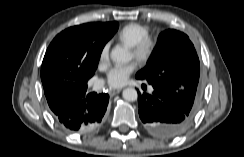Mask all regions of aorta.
Instances as JSON below:
<instances>
[{
	"instance_id": "762f6f07",
	"label": "aorta",
	"mask_w": 244,
	"mask_h": 157,
	"mask_svg": "<svg viewBox=\"0 0 244 157\" xmlns=\"http://www.w3.org/2000/svg\"><path fill=\"white\" fill-rule=\"evenodd\" d=\"M111 59L116 62L125 63L128 62L131 59V57L127 49L120 46H116L111 51ZM122 96L125 100L130 102L136 101L138 98L137 91L134 88L124 89Z\"/></svg>"
}]
</instances>
